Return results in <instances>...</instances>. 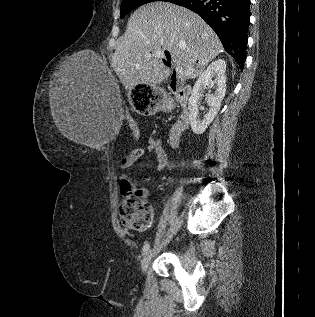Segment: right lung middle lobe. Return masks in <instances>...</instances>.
Here are the masks:
<instances>
[{
	"label": "right lung middle lobe",
	"mask_w": 315,
	"mask_h": 317,
	"mask_svg": "<svg viewBox=\"0 0 315 317\" xmlns=\"http://www.w3.org/2000/svg\"><path fill=\"white\" fill-rule=\"evenodd\" d=\"M154 1H167V2L173 3L176 0H122L120 18L127 15L133 9L143 4L154 2Z\"/></svg>",
	"instance_id": "obj_1"
}]
</instances>
